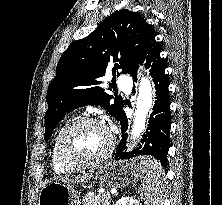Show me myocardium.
<instances>
[{"mask_svg": "<svg viewBox=\"0 0 222 205\" xmlns=\"http://www.w3.org/2000/svg\"><path fill=\"white\" fill-rule=\"evenodd\" d=\"M84 124H97L103 127L106 130L107 135H108V143L104 151L100 155L94 158L87 159V160L74 159L68 155L65 149V141L68 135L74 129ZM113 148H114V137L110 129L106 126V124L102 120L95 117H91V116L79 117L73 120L63 130L58 140V155L61 162L68 167H72L76 169L90 167V166H94V165L104 162L111 155Z\"/></svg>", "mask_w": 222, "mask_h": 205, "instance_id": "obj_1", "label": "myocardium"}]
</instances>
